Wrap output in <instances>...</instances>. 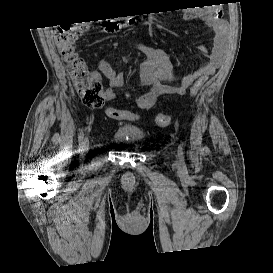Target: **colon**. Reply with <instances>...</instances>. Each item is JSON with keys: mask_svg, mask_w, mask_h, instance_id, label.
Instances as JSON below:
<instances>
[{"mask_svg": "<svg viewBox=\"0 0 273 273\" xmlns=\"http://www.w3.org/2000/svg\"><path fill=\"white\" fill-rule=\"evenodd\" d=\"M89 24L88 20H83L64 26H60L55 31V42L58 51L67 65L70 77L75 85L77 94L82 103L89 108H97L102 105L104 100V89L101 82L88 70L84 58H82L76 49L78 37L86 30ZM205 77L198 79L190 90L191 96H194L201 89ZM107 115L111 119H124L126 110L108 108ZM135 114L130 115V119H136ZM171 118L166 113H159L156 116V123L159 126H168Z\"/></svg>", "mask_w": 273, "mask_h": 273, "instance_id": "obj_1", "label": "colon"}]
</instances>
